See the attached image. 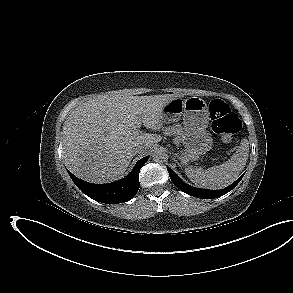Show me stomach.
Wrapping results in <instances>:
<instances>
[{"label": "stomach", "mask_w": 293, "mask_h": 293, "mask_svg": "<svg viewBox=\"0 0 293 293\" xmlns=\"http://www.w3.org/2000/svg\"><path fill=\"white\" fill-rule=\"evenodd\" d=\"M181 116L184 124L182 141L185 145L181 160L183 164H187L198 160L213 145L212 136L207 130L210 112L206 102L199 97H189L186 100L176 98L162 110L164 122L177 121Z\"/></svg>", "instance_id": "0dacf381"}]
</instances>
